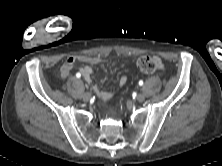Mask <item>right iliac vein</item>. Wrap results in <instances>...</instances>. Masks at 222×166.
Here are the masks:
<instances>
[{"instance_id":"63e3f726","label":"right iliac vein","mask_w":222,"mask_h":166,"mask_svg":"<svg viewBox=\"0 0 222 166\" xmlns=\"http://www.w3.org/2000/svg\"><path fill=\"white\" fill-rule=\"evenodd\" d=\"M90 98H91V94L89 92L84 93V95H83L84 101H89Z\"/></svg>"}]
</instances>
